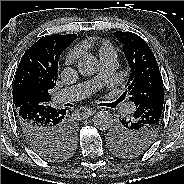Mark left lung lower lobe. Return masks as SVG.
Returning <instances> with one entry per match:
<instances>
[{
	"label": "left lung lower lobe",
	"mask_w": 184,
	"mask_h": 184,
	"mask_svg": "<svg viewBox=\"0 0 184 184\" xmlns=\"http://www.w3.org/2000/svg\"><path fill=\"white\" fill-rule=\"evenodd\" d=\"M163 102L164 96H158L157 98H155V101L143 102L137 107L133 118L130 119L131 122L136 125H141L142 123H150L158 119L162 116Z\"/></svg>",
	"instance_id": "left-lung-lower-lobe-1"
}]
</instances>
